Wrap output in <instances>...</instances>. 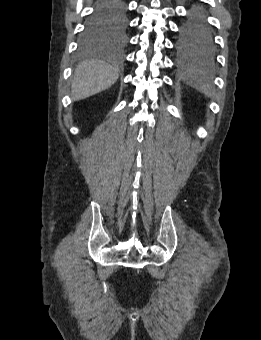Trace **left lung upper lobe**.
I'll return each instance as SVG.
<instances>
[{"label":"left lung upper lobe","instance_id":"left-lung-upper-lobe-1","mask_svg":"<svg viewBox=\"0 0 261 340\" xmlns=\"http://www.w3.org/2000/svg\"><path fill=\"white\" fill-rule=\"evenodd\" d=\"M179 44L184 51L206 56L214 54L213 34L201 9H194L188 21L182 26Z\"/></svg>","mask_w":261,"mask_h":340}]
</instances>
